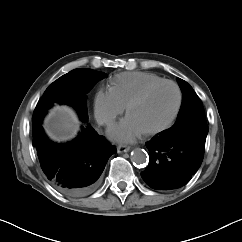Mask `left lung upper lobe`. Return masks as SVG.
I'll return each mask as SVG.
<instances>
[{
    "mask_svg": "<svg viewBox=\"0 0 242 242\" xmlns=\"http://www.w3.org/2000/svg\"><path fill=\"white\" fill-rule=\"evenodd\" d=\"M177 81L182 90L181 108L175 124L162 133L173 137L207 136L208 126L200 98L186 81L180 78Z\"/></svg>",
    "mask_w": 242,
    "mask_h": 242,
    "instance_id": "left-lung-upper-lobe-1",
    "label": "left lung upper lobe"
}]
</instances>
